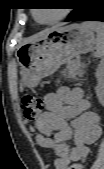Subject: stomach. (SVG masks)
I'll use <instances>...</instances> for the list:
<instances>
[{
    "label": "stomach",
    "mask_w": 104,
    "mask_h": 169,
    "mask_svg": "<svg viewBox=\"0 0 104 169\" xmlns=\"http://www.w3.org/2000/svg\"><path fill=\"white\" fill-rule=\"evenodd\" d=\"M95 42L94 31L85 24H72L45 31L17 51L22 85L36 86L42 78L57 71L60 65L90 51Z\"/></svg>",
    "instance_id": "obj_1"
}]
</instances>
